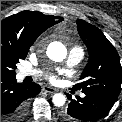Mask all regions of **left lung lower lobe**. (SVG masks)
Segmentation results:
<instances>
[{"mask_svg": "<svg viewBox=\"0 0 122 122\" xmlns=\"http://www.w3.org/2000/svg\"><path fill=\"white\" fill-rule=\"evenodd\" d=\"M84 98L76 97L71 100L68 108L61 113L65 122H93L104 117L114 105L116 99L94 92L85 93Z\"/></svg>", "mask_w": 122, "mask_h": 122, "instance_id": "0a47b994", "label": "left lung lower lobe"}]
</instances>
